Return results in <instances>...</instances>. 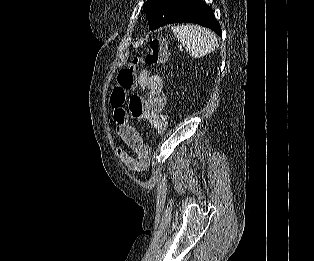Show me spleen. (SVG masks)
<instances>
[{
	"instance_id": "spleen-1",
	"label": "spleen",
	"mask_w": 314,
	"mask_h": 261,
	"mask_svg": "<svg viewBox=\"0 0 314 261\" xmlns=\"http://www.w3.org/2000/svg\"><path fill=\"white\" fill-rule=\"evenodd\" d=\"M179 42L193 58H201L215 51L218 40L210 30L197 25H177L171 28Z\"/></svg>"
}]
</instances>
